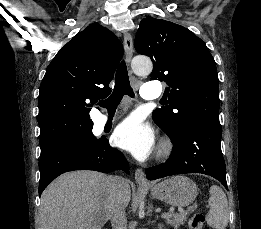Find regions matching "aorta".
Segmentation results:
<instances>
[{"mask_svg":"<svg viewBox=\"0 0 261 229\" xmlns=\"http://www.w3.org/2000/svg\"><path fill=\"white\" fill-rule=\"evenodd\" d=\"M131 68L138 76H147L152 72L153 62L149 56H134Z\"/></svg>","mask_w":261,"mask_h":229,"instance_id":"aorta-1","label":"aorta"}]
</instances>
